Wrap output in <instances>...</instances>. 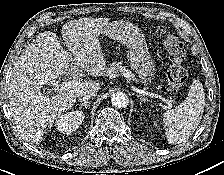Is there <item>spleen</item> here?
Instances as JSON below:
<instances>
[{"instance_id":"3e777b00","label":"spleen","mask_w":224,"mask_h":175,"mask_svg":"<svg viewBox=\"0 0 224 175\" xmlns=\"http://www.w3.org/2000/svg\"><path fill=\"white\" fill-rule=\"evenodd\" d=\"M205 106V93L199 80L193 81L186 99L163 115L166 138L170 144L187 139L199 125Z\"/></svg>"}]
</instances>
